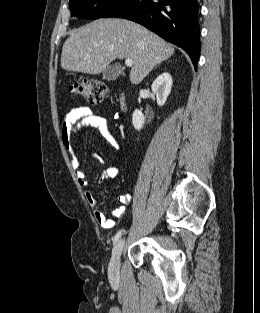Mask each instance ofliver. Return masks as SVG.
Wrapping results in <instances>:
<instances>
[{"instance_id":"1","label":"liver","mask_w":260,"mask_h":313,"mask_svg":"<svg viewBox=\"0 0 260 313\" xmlns=\"http://www.w3.org/2000/svg\"><path fill=\"white\" fill-rule=\"evenodd\" d=\"M174 48L142 25L126 19H98L74 30L65 41L61 67L96 75L115 59H132L129 78L139 84Z\"/></svg>"}]
</instances>
